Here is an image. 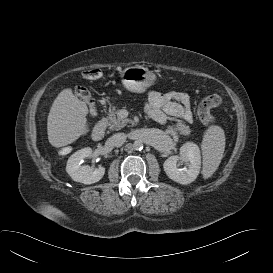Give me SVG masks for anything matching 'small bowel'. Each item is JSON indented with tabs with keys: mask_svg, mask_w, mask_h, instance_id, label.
Instances as JSON below:
<instances>
[{
	"mask_svg": "<svg viewBox=\"0 0 273 273\" xmlns=\"http://www.w3.org/2000/svg\"><path fill=\"white\" fill-rule=\"evenodd\" d=\"M147 115L160 124H165L168 116L190 123L193 121L191 99L183 92H152L148 97Z\"/></svg>",
	"mask_w": 273,
	"mask_h": 273,
	"instance_id": "small-bowel-1",
	"label": "small bowel"
}]
</instances>
